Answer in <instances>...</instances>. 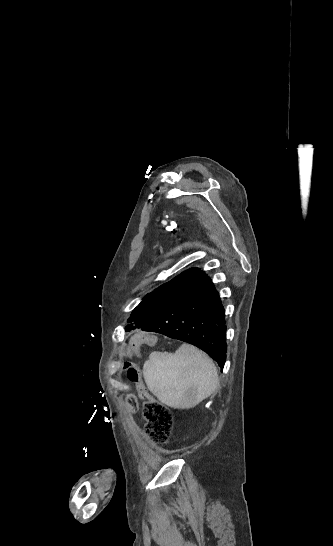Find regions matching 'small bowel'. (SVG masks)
I'll list each match as a JSON object with an SVG mask.
<instances>
[{"instance_id":"obj_1","label":"small bowel","mask_w":333,"mask_h":546,"mask_svg":"<svg viewBox=\"0 0 333 546\" xmlns=\"http://www.w3.org/2000/svg\"><path fill=\"white\" fill-rule=\"evenodd\" d=\"M156 338V335L154 332L152 331H138L136 334H135V337L133 338V354H132V357L134 360L136 361H139L142 359L143 357V354L142 352L140 351L139 348H152V347H156L157 346V341L155 340ZM133 410V413H138V406L137 404H132L130 406Z\"/></svg>"}]
</instances>
